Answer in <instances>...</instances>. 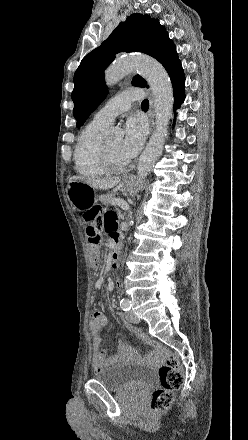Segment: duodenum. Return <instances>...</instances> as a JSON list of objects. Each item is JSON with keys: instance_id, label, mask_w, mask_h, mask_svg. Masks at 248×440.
I'll list each match as a JSON object with an SVG mask.
<instances>
[{"instance_id": "410a0bca", "label": "duodenum", "mask_w": 248, "mask_h": 440, "mask_svg": "<svg viewBox=\"0 0 248 440\" xmlns=\"http://www.w3.org/2000/svg\"><path fill=\"white\" fill-rule=\"evenodd\" d=\"M120 254V238L118 235L112 236V249L110 253V260L113 265L116 264V261L119 258Z\"/></svg>"}]
</instances>
